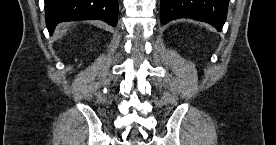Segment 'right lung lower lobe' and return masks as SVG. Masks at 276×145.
<instances>
[{"instance_id": "right-lung-lower-lobe-1", "label": "right lung lower lobe", "mask_w": 276, "mask_h": 145, "mask_svg": "<svg viewBox=\"0 0 276 145\" xmlns=\"http://www.w3.org/2000/svg\"><path fill=\"white\" fill-rule=\"evenodd\" d=\"M117 0H45V20L53 33L59 22L99 19L116 26Z\"/></svg>"}]
</instances>
